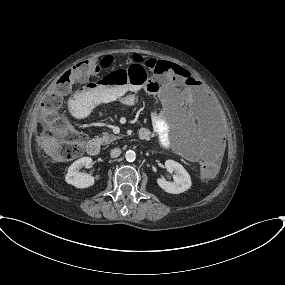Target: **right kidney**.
I'll use <instances>...</instances> for the list:
<instances>
[{"instance_id":"ca27d5eb","label":"right kidney","mask_w":285,"mask_h":285,"mask_svg":"<svg viewBox=\"0 0 285 285\" xmlns=\"http://www.w3.org/2000/svg\"><path fill=\"white\" fill-rule=\"evenodd\" d=\"M92 163L91 157H82L78 160H76L67 171V174L65 176V180L68 184H71L75 186L76 188H88L92 186L95 182V180L99 179V175H96L95 177L87 174V173H81L80 169L82 167L89 168Z\"/></svg>"}]
</instances>
